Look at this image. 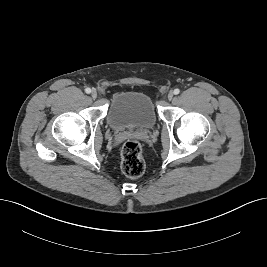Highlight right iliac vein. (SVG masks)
<instances>
[{
  "label": "right iliac vein",
  "instance_id": "63e3f726",
  "mask_svg": "<svg viewBox=\"0 0 267 267\" xmlns=\"http://www.w3.org/2000/svg\"><path fill=\"white\" fill-rule=\"evenodd\" d=\"M91 96H92L93 99H95L97 97V91L96 90H92Z\"/></svg>",
  "mask_w": 267,
  "mask_h": 267
}]
</instances>
